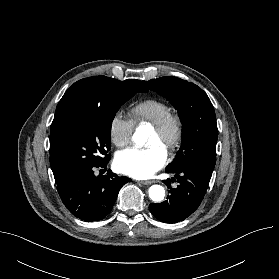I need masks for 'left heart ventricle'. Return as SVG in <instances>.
<instances>
[{"mask_svg": "<svg viewBox=\"0 0 279 279\" xmlns=\"http://www.w3.org/2000/svg\"><path fill=\"white\" fill-rule=\"evenodd\" d=\"M171 138H172L171 134L160 136L154 131H152L147 141V145L148 146L158 145L162 147L165 151H167Z\"/></svg>", "mask_w": 279, "mask_h": 279, "instance_id": "left-heart-ventricle-1", "label": "left heart ventricle"}]
</instances>
